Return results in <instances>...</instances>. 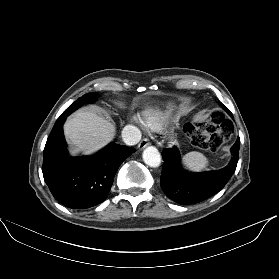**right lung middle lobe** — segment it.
Instances as JSON below:
<instances>
[{
  "label": "right lung middle lobe",
  "instance_id": "obj_1",
  "mask_svg": "<svg viewBox=\"0 0 279 279\" xmlns=\"http://www.w3.org/2000/svg\"><path fill=\"white\" fill-rule=\"evenodd\" d=\"M96 94L94 93H87L80 97L77 101H75L73 104H71L63 113H66L69 115L76 109H78L83 103H92L95 101Z\"/></svg>",
  "mask_w": 279,
  "mask_h": 279
}]
</instances>
